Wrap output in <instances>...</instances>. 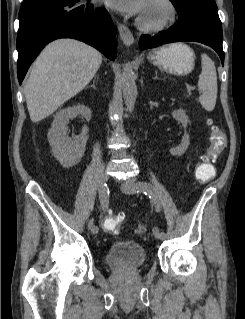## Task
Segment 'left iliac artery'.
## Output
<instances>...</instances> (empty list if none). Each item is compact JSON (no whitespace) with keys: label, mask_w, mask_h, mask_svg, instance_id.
I'll list each match as a JSON object with an SVG mask.
<instances>
[{"label":"left iliac artery","mask_w":245,"mask_h":319,"mask_svg":"<svg viewBox=\"0 0 245 319\" xmlns=\"http://www.w3.org/2000/svg\"><path fill=\"white\" fill-rule=\"evenodd\" d=\"M134 189L137 192H143L145 195L149 196V198L154 199L156 194H155V190L153 188V186L147 182H138L135 184ZM157 210H159V205H157ZM159 231V230H158ZM159 234L165 238L166 234L165 232H159Z\"/></svg>","instance_id":"obj_1"}]
</instances>
